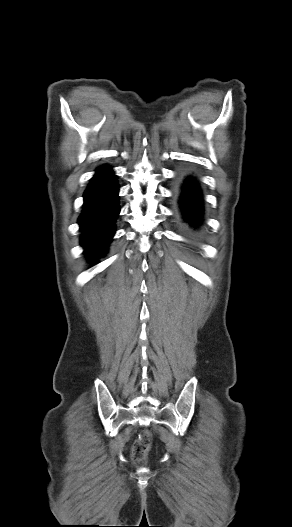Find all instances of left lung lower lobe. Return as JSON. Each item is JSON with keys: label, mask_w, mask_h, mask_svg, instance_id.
Here are the masks:
<instances>
[{"label": "left lung lower lobe", "mask_w": 292, "mask_h": 527, "mask_svg": "<svg viewBox=\"0 0 292 527\" xmlns=\"http://www.w3.org/2000/svg\"><path fill=\"white\" fill-rule=\"evenodd\" d=\"M180 205L184 219L198 225L202 216V200L195 180L187 177L180 194Z\"/></svg>", "instance_id": "left-lung-lower-lobe-1"}]
</instances>
